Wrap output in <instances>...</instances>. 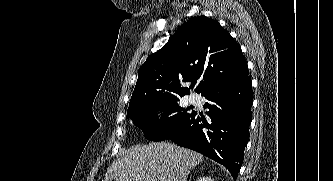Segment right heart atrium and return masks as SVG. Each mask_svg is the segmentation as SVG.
Returning <instances> with one entry per match:
<instances>
[{"label":"right heart atrium","mask_w":333,"mask_h":181,"mask_svg":"<svg viewBox=\"0 0 333 181\" xmlns=\"http://www.w3.org/2000/svg\"><path fill=\"white\" fill-rule=\"evenodd\" d=\"M168 113V108L164 105H158L155 107V109L153 110V119L156 122H162Z\"/></svg>","instance_id":"d8ad5b80"}]
</instances>
